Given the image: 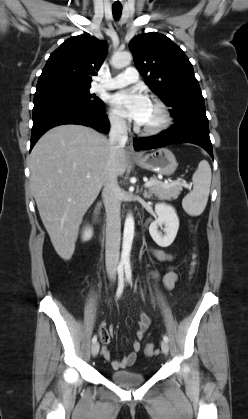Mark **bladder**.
Here are the masks:
<instances>
[{
	"mask_svg": "<svg viewBox=\"0 0 248 419\" xmlns=\"http://www.w3.org/2000/svg\"><path fill=\"white\" fill-rule=\"evenodd\" d=\"M110 379L122 387H136L143 384L146 377L131 370L112 371L109 374Z\"/></svg>",
	"mask_w": 248,
	"mask_h": 419,
	"instance_id": "obj_1",
	"label": "bladder"
}]
</instances>
